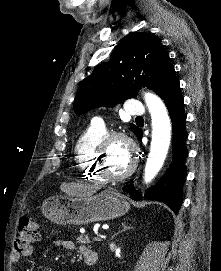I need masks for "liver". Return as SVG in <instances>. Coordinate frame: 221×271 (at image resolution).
<instances>
[{
    "label": "liver",
    "instance_id": "1",
    "mask_svg": "<svg viewBox=\"0 0 221 271\" xmlns=\"http://www.w3.org/2000/svg\"><path fill=\"white\" fill-rule=\"evenodd\" d=\"M76 185H71V191L70 193H77V195H82V197H85V195H89V193H92V191H87L88 187H82V189H77Z\"/></svg>",
    "mask_w": 221,
    "mask_h": 271
}]
</instances>
